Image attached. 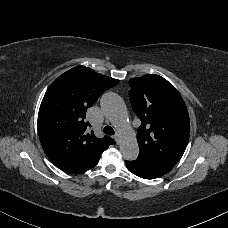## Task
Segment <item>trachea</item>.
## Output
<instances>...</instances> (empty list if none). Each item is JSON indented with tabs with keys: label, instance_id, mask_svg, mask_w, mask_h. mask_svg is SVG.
Masks as SVG:
<instances>
[{
	"label": "trachea",
	"instance_id": "trachea-1",
	"mask_svg": "<svg viewBox=\"0 0 228 228\" xmlns=\"http://www.w3.org/2000/svg\"><path fill=\"white\" fill-rule=\"evenodd\" d=\"M103 132L107 135H114V129L111 126H105Z\"/></svg>",
	"mask_w": 228,
	"mask_h": 228
}]
</instances>
